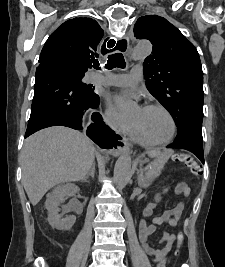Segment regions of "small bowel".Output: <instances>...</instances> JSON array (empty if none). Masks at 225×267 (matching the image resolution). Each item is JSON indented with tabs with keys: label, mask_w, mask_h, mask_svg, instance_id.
Returning <instances> with one entry per match:
<instances>
[{
	"label": "small bowel",
	"mask_w": 225,
	"mask_h": 267,
	"mask_svg": "<svg viewBox=\"0 0 225 267\" xmlns=\"http://www.w3.org/2000/svg\"><path fill=\"white\" fill-rule=\"evenodd\" d=\"M170 189V186H165L161 189V192L164 193ZM175 192L177 195L182 197H187L189 194V188L185 182H179L175 186ZM184 202L181 201L176 207L171 210L166 211L161 216H158L153 219L152 224H148L145 220H142L139 225V239L144 251L150 255L154 260H162L168 252L171 250L176 236L168 230L163 232L162 238L159 240V244L162 245L161 248H152L148 245L147 241L149 236L155 231L156 225H167V226H176L177 221L181 216L183 210ZM155 205L153 203H148L144 210L143 216L149 217L153 214Z\"/></svg>",
	"instance_id": "c3829d8e"
}]
</instances>
